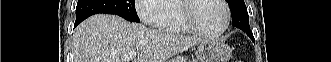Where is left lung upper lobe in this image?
<instances>
[{
  "label": "left lung upper lobe",
  "mask_w": 331,
  "mask_h": 62,
  "mask_svg": "<svg viewBox=\"0 0 331 62\" xmlns=\"http://www.w3.org/2000/svg\"><path fill=\"white\" fill-rule=\"evenodd\" d=\"M226 1L229 4V8L232 14V25L237 24L242 30L252 34V31L250 30L249 27V16L244 0H226Z\"/></svg>",
  "instance_id": "left-lung-upper-lobe-1"
}]
</instances>
